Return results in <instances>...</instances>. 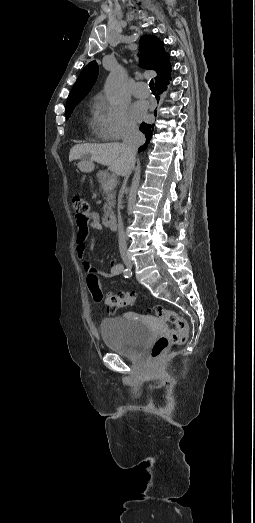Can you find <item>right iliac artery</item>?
Here are the masks:
<instances>
[{
    "label": "right iliac artery",
    "instance_id": "obj_1",
    "mask_svg": "<svg viewBox=\"0 0 255 523\" xmlns=\"http://www.w3.org/2000/svg\"><path fill=\"white\" fill-rule=\"evenodd\" d=\"M131 275H132L131 270L128 269V268H126V269L124 270V277L129 278V277H131Z\"/></svg>",
    "mask_w": 255,
    "mask_h": 523
}]
</instances>
